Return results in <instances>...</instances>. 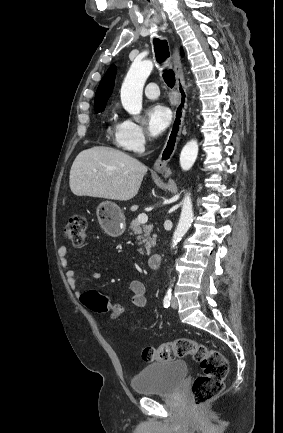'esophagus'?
Instances as JSON below:
<instances>
[{
	"mask_svg": "<svg viewBox=\"0 0 283 433\" xmlns=\"http://www.w3.org/2000/svg\"><path fill=\"white\" fill-rule=\"evenodd\" d=\"M169 32L172 33V30H169ZM173 64L176 73V85L179 93V102L174 111L173 122L165 145L156 162L154 163V170H156L157 172H164L165 174L171 173L167 164L174 155V152L178 145L181 130L184 125L185 113L187 108V92L177 44H175L173 49Z\"/></svg>",
	"mask_w": 283,
	"mask_h": 433,
	"instance_id": "1",
	"label": "esophagus"
}]
</instances>
